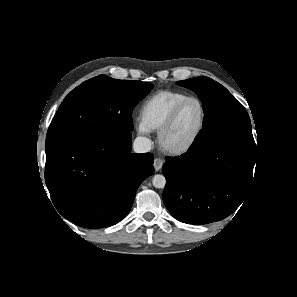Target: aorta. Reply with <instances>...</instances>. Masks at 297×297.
I'll return each instance as SVG.
<instances>
[{
	"instance_id": "762f6f07",
	"label": "aorta",
	"mask_w": 297,
	"mask_h": 297,
	"mask_svg": "<svg viewBox=\"0 0 297 297\" xmlns=\"http://www.w3.org/2000/svg\"><path fill=\"white\" fill-rule=\"evenodd\" d=\"M152 184L155 188H164L166 184V179L162 174H156L152 178Z\"/></svg>"
}]
</instances>
